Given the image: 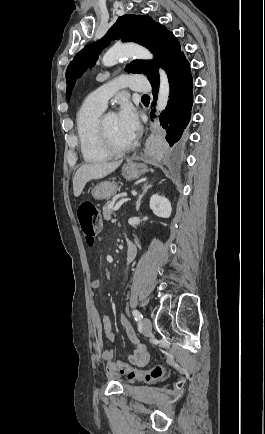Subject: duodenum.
<instances>
[{
    "instance_id": "obj_1",
    "label": "duodenum",
    "mask_w": 265,
    "mask_h": 434,
    "mask_svg": "<svg viewBox=\"0 0 265 434\" xmlns=\"http://www.w3.org/2000/svg\"><path fill=\"white\" fill-rule=\"evenodd\" d=\"M136 254H137V246L135 243L132 242L127 247V251L124 259L125 264L130 263L135 258Z\"/></svg>"
}]
</instances>
